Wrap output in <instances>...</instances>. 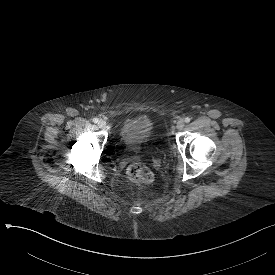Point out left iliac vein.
Wrapping results in <instances>:
<instances>
[{
    "instance_id": "1",
    "label": "left iliac vein",
    "mask_w": 275,
    "mask_h": 275,
    "mask_svg": "<svg viewBox=\"0 0 275 275\" xmlns=\"http://www.w3.org/2000/svg\"><path fill=\"white\" fill-rule=\"evenodd\" d=\"M184 126H185L184 121H183V120H179V121L177 122L176 128H177L178 130L181 131V130H183Z\"/></svg>"
}]
</instances>
